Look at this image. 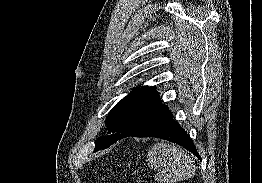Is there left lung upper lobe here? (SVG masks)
<instances>
[{"label":"left lung upper lobe","instance_id":"5c2ea615","mask_svg":"<svg viewBox=\"0 0 262 183\" xmlns=\"http://www.w3.org/2000/svg\"><path fill=\"white\" fill-rule=\"evenodd\" d=\"M161 105L162 101L154 86L131 91L109 112L106 119L108 134L95 141L94 151L107 148L137 132Z\"/></svg>","mask_w":262,"mask_h":183}]
</instances>
